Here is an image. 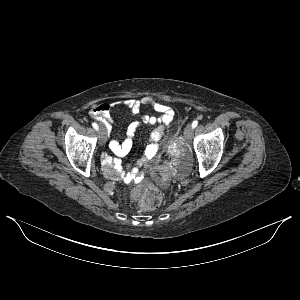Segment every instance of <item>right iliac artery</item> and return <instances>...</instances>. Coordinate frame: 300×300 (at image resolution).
<instances>
[{"mask_svg":"<svg viewBox=\"0 0 300 300\" xmlns=\"http://www.w3.org/2000/svg\"><path fill=\"white\" fill-rule=\"evenodd\" d=\"M92 126H93V128H94L95 130H98V129H99L98 125H97L95 122L92 123Z\"/></svg>","mask_w":300,"mask_h":300,"instance_id":"obj_1","label":"right iliac artery"}]
</instances>
